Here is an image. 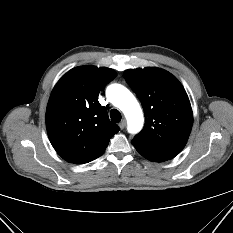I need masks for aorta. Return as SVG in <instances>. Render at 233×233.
<instances>
[{"instance_id": "obj_1", "label": "aorta", "mask_w": 233, "mask_h": 233, "mask_svg": "<svg viewBox=\"0 0 233 233\" xmlns=\"http://www.w3.org/2000/svg\"><path fill=\"white\" fill-rule=\"evenodd\" d=\"M107 99L125 115L128 132L137 133L142 129L144 118L141 107L134 95L123 85L111 84L106 90Z\"/></svg>"}]
</instances>
